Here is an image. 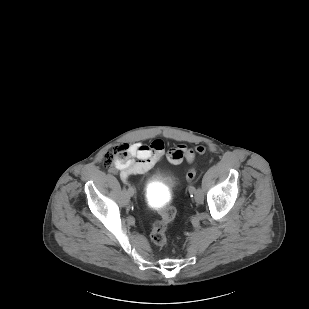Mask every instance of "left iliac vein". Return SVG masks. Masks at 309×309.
I'll use <instances>...</instances> for the list:
<instances>
[{"label":"left iliac vein","instance_id":"obj_1","mask_svg":"<svg viewBox=\"0 0 309 309\" xmlns=\"http://www.w3.org/2000/svg\"><path fill=\"white\" fill-rule=\"evenodd\" d=\"M194 200L196 203L200 204L204 200V195L201 189H197L194 193Z\"/></svg>","mask_w":309,"mask_h":309}]
</instances>
